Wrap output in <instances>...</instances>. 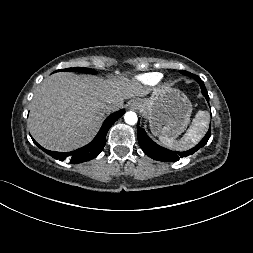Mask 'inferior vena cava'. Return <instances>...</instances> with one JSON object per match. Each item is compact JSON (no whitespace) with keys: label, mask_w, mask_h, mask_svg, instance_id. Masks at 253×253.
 Instances as JSON below:
<instances>
[{"label":"inferior vena cava","mask_w":253,"mask_h":253,"mask_svg":"<svg viewBox=\"0 0 253 253\" xmlns=\"http://www.w3.org/2000/svg\"><path fill=\"white\" fill-rule=\"evenodd\" d=\"M106 109H107L108 111H110V110L114 109V105H113V104H108V105L106 106Z\"/></svg>","instance_id":"obj_1"}]
</instances>
